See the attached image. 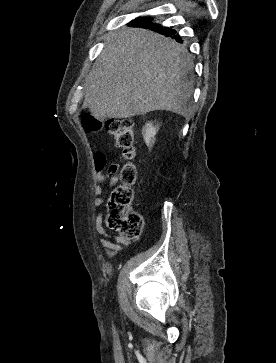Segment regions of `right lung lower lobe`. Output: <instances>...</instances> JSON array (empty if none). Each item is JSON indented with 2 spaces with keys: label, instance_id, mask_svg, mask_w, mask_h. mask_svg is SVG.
I'll return each mask as SVG.
<instances>
[{
  "label": "right lung lower lobe",
  "instance_id": "right-lung-lower-lobe-1",
  "mask_svg": "<svg viewBox=\"0 0 276 363\" xmlns=\"http://www.w3.org/2000/svg\"><path fill=\"white\" fill-rule=\"evenodd\" d=\"M151 19V17H140L135 19L134 21H131L129 25L134 27L149 28L167 37L175 38L176 41L181 42L180 36L176 33L174 29L170 27H162L159 24L153 23Z\"/></svg>",
  "mask_w": 276,
  "mask_h": 363
}]
</instances>
